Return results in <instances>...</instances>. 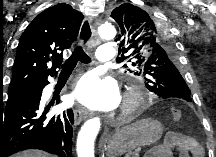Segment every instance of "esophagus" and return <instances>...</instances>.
Returning a JSON list of instances; mask_svg holds the SVG:
<instances>
[{
    "mask_svg": "<svg viewBox=\"0 0 216 157\" xmlns=\"http://www.w3.org/2000/svg\"><path fill=\"white\" fill-rule=\"evenodd\" d=\"M88 28L90 32L88 31ZM96 36H97V31L95 27L93 26V19L90 17L85 18L81 24L78 40L81 43L88 45L90 40ZM84 37L86 38L88 37V38L85 40ZM86 116H87V113L85 109L80 105H76L74 109L75 124L76 125L80 124L83 120L86 119Z\"/></svg>",
    "mask_w": 216,
    "mask_h": 157,
    "instance_id": "esophagus-1",
    "label": "esophagus"
}]
</instances>
